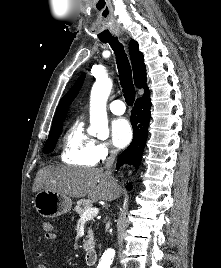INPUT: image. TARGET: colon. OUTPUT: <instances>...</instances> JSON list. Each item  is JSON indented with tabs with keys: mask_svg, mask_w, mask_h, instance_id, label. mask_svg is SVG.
<instances>
[{
	"mask_svg": "<svg viewBox=\"0 0 221 268\" xmlns=\"http://www.w3.org/2000/svg\"><path fill=\"white\" fill-rule=\"evenodd\" d=\"M41 226L45 232H49L53 228L52 224L47 220H43Z\"/></svg>",
	"mask_w": 221,
	"mask_h": 268,
	"instance_id": "5ec220e1",
	"label": "colon"
}]
</instances>
